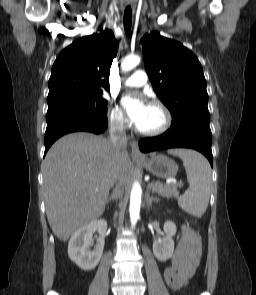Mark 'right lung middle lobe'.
I'll use <instances>...</instances> for the list:
<instances>
[{"instance_id": "right-lung-middle-lobe-1", "label": "right lung middle lobe", "mask_w": 256, "mask_h": 295, "mask_svg": "<svg viewBox=\"0 0 256 295\" xmlns=\"http://www.w3.org/2000/svg\"><path fill=\"white\" fill-rule=\"evenodd\" d=\"M69 111L89 114H106L107 101L101 94H68L48 101L47 113Z\"/></svg>"}]
</instances>
